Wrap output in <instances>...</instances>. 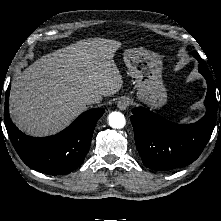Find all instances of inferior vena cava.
Returning a JSON list of instances; mask_svg holds the SVG:
<instances>
[{
  "instance_id": "inferior-vena-cava-1",
  "label": "inferior vena cava",
  "mask_w": 221,
  "mask_h": 221,
  "mask_svg": "<svg viewBox=\"0 0 221 221\" xmlns=\"http://www.w3.org/2000/svg\"><path fill=\"white\" fill-rule=\"evenodd\" d=\"M85 103L90 105V104H94V103H99V101L94 97H88L85 99Z\"/></svg>"
}]
</instances>
